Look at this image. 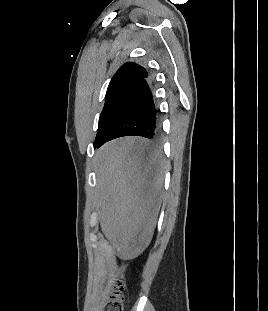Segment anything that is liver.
Returning a JSON list of instances; mask_svg holds the SVG:
<instances>
[{"instance_id":"6515ba94","label":"liver","mask_w":268,"mask_h":311,"mask_svg":"<svg viewBox=\"0 0 268 311\" xmlns=\"http://www.w3.org/2000/svg\"><path fill=\"white\" fill-rule=\"evenodd\" d=\"M95 207L105 237L120 257L140 255L150 242L162 201L165 162L146 140L126 137L96 152Z\"/></svg>"}]
</instances>
